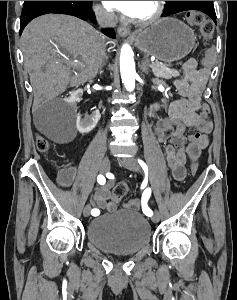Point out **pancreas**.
Segmentation results:
<instances>
[{"label": "pancreas", "instance_id": "cf45deb5", "mask_svg": "<svg viewBox=\"0 0 237 300\" xmlns=\"http://www.w3.org/2000/svg\"><path fill=\"white\" fill-rule=\"evenodd\" d=\"M158 63V61H156ZM152 65L150 64L149 61V65L148 67ZM157 65H159L160 67L157 69H152V73L153 75H156V77H163V79H172V77H179V73L178 71H175V69H169L168 65H163V63H158ZM162 66H167V67H162Z\"/></svg>", "mask_w": 237, "mask_h": 300}]
</instances>
